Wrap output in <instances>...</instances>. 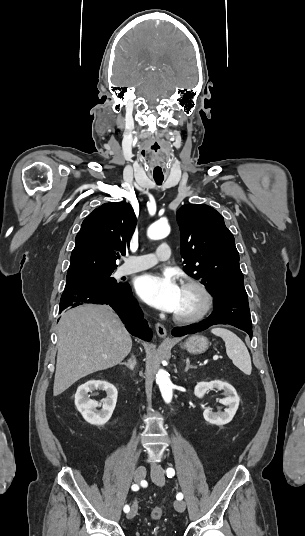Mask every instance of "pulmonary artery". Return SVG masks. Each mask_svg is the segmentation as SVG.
Segmentation results:
<instances>
[{
	"label": "pulmonary artery",
	"mask_w": 305,
	"mask_h": 536,
	"mask_svg": "<svg viewBox=\"0 0 305 536\" xmlns=\"http://www.w3.org/2000/svg\"><path fill=\"white\" fill-rule=\"evenodd\" d=\"M170 244L166 240L159 242L157 249L154 253L148 254H132L130 256V262L124 264L121 268V273L124 275L140 272L151 268L160 261H166L169 259Z\"/></svg>",
	"instance_id": "1"
}]
</instances>
